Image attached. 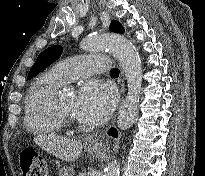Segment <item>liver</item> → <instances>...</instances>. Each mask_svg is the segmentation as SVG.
I'll return each mask as SVG.
<instances>
[{"label":"liver","instance_id":"6515ba94","mask_svg":"<svg viewBox=\"0 0 205 176\" xmlns=\"http://www.w3.org/2000/svg\"><path fill=\"white\" fill-rule=\"evenodd\" d=\"M34 141L47 152L66 162L77 160L83 149L80 141L57 135H38Z\"/></svg>","mask_w":205,"mask_h":176}]
</instances>
